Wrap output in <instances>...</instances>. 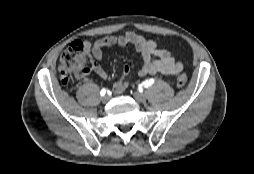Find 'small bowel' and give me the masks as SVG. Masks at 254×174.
I'll list each match as a JSON object with an SVG mask.
<instances>
[{
  "label": "small bowel",
  "mask_w": 254,
  "mask_h": 174,
  "mask_svg": "<svg viewBox=\"0 0 254 174\" xmlns=\"http://www.w3.org/2000/svg\"><path fill=\"white\" fill-rule=\"evenodd\" d=\"M133 45L137 53L142 58V65L139 70L141 76L161 73L167 76H175L183 69L181 61L176 60L170 51L160 48L154 40H148L142 35L134 32H126L119 36H106L94 42H84L85 49L89 52L93 60V71L102 79L109 78L108 72L102 67L103 49L110 46ZM131 71L130 65H125L122 75L112 90L116 94L123 93L128 87L129 81L126 79Z\"/></svg>",
  "instance_id": "obj_1"
}]
</instances>
